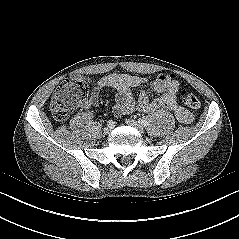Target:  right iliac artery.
<instances>
[{
    "mask_svg": "<svg viewBox=\"0 0 239 239\" xmlns=\"http://www.w3.org/2000/svg\"><path fill=\"white\" fill-rule=\"evenodd\" d=\"M108 123H109V125L114 127L116 124V121L114 119H111Z\"/></svg>",
    "mask_w": 239,
    "mask_h": 239,
    "instance_id": "obj_1",
    "label": "right iliac artery"
}]
</instances>
